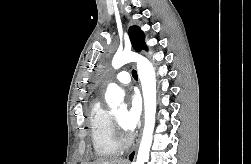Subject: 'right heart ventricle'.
<instances>
[{
  "label": "right heart ventricle",
  "instance_id": "right-heart-ventricle-1",
  "mask_svg": "<svg viewBox=\"0 0 251 164\" xmlns=\"http://www.w3.org/2000/svg\"><path fill=\"white\" fill-rule=\"evenodd\" d=\"M89 126L92 145L99 157H109L119 152L112 115L104 108L101 101L92 102L89 112Z\"/></svg>",
  "mask_w": 251,
  "mask_h": 164
}]
</instances>
